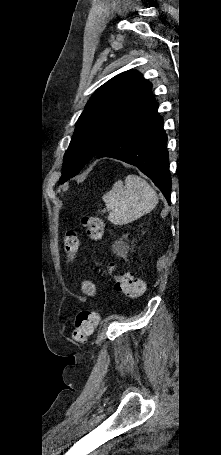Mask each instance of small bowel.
I'll return each mask as SVG.
<instances>
[{
	"label": "small bowel",
	"instance_id": "1",
	"mask_svg": "<svg viewBox=\"0 0 221 455\" xmlns=\"http://www.w3.org/2000/svg\"><path fill=\"white\" fill-rule=\"evenodd\" d=\"M81 288L83 293L88 296H94L96 294V287L91 281H83Z\"/></svg>",
	"mask_w": 221,
	"mask_h": 455
}]
</instances>
